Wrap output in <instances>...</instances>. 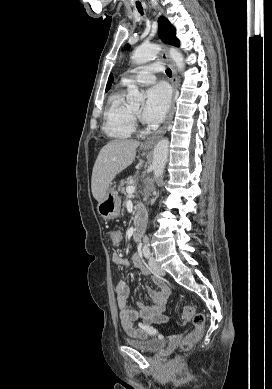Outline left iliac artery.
Masks as SVG:
<instances>
[{
	"label": "left iliac artery",
	"mask_w": 272,
	"mask_h": 389,
	"mask_svg": "<svg viewBox=\"0 0 272 389\" xmlns=\"http://www.w3.org/2000/svg\"><path fill=\"white\" fill-rule=\"evenodd\" d=\"M142 251H143V255H144L146 258H149V256H150L149 245H144Z\"/></svg>",
	"instance_id": "1"
}]
</instances>
